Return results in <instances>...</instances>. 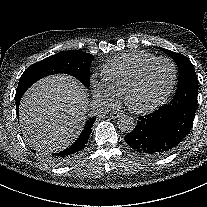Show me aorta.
Masks as SVG:
<instances>
[{
	"instance_id": "obj_1",
	"label": "aorta",
	"mask_w": 207,
	"mask_h": 207,
	"mask_svg": "<svg viewBox=\"0 0 207 207\" xmlns=\"http://www.w3.org/2000/svg\"><path fill=\"white\" fill-rule=\"evenodd\" d=\"M117 124L119 129L124 133H131L136 126L135 120L131 116L127 115H122L118 119Z\"/></svg>"
}]
</instances>
